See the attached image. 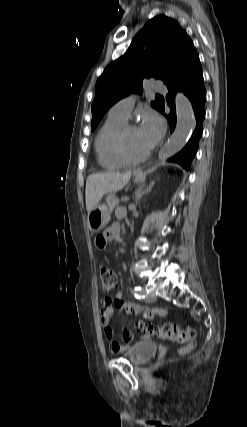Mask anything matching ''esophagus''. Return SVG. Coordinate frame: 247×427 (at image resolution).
Here are the masks:
<instances>
[{
	"instance_id": "esophagus-1",
	"label": "esophagus",
	"mask_w": 247,
	"mask_h": 427,
	"mask_svg": "<svg viewBox=\"0 0 247 427\" xmlns=\"http://www.w3.org/2000/svg\"><path fill=\"white\" fill-rule=\"evenodd\" d=\"M142 171L140 169L135 170V174H141Z\"/></svg>"
}]
</instances>
